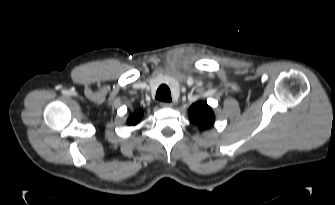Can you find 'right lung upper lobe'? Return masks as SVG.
<instances>
[{"label":"right lung upper lobe","instance_id":"obj_1","mask_svg":"<svg viewBox=\"0 0 335 205\" xmlns=\"http://www.w3.org/2000/svg\"><path fill=\"white\" fill-rule=\"evenodd\" d=\"M142 116L143 112L141 110H137L128 118L127 123L129 125H136L137 123H139Z\"/></svg>","mask_w":335,"mask_h":205}]
</instances>
